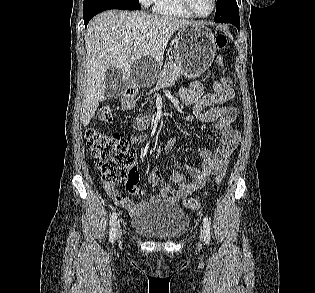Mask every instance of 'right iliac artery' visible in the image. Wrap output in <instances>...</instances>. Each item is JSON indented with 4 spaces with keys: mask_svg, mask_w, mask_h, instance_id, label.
<instances>
[{
    "mask_svg": "<svg viewBox=\"0 0 315 293\" xmlns=\"http://www.w3.org/2000/svg\"><path fill=\"white\" fill-rule=\"evenodd\" d=\"M117 214L114 212L110 218V230H109V239L113 243L116 238V224Z\"/></svg>",
    "mask_w": 315,
    "mask_h": 293,
    "instance_id": "82829eb1",
    "label": "right iliac artery"
}]
</instances>
